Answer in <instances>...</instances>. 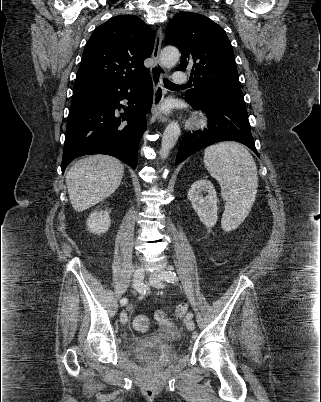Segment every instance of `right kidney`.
<instances>
[{
    "label": "right kidney",
    "mask_w": 321,
    "mask_h": 402,
    "mask_svg": "<svg viewBox=\"0 0 321 402\" xmlns=\"http://www.w3.org/2000/svg\"><path fill=\"white\" fill-rule=\"evenodd\" d=\"M110 216L107 211H95L90 214L87 226L90 232L95 234L105 233L110 227Z\"/></svg>",
    "instance_id": "ca27d5eb"
}]
</instances>
